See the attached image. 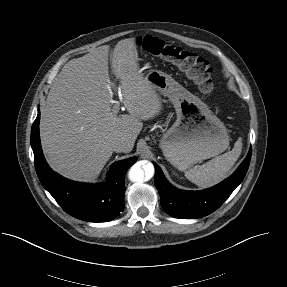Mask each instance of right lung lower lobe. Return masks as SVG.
<instances>
[{"mask_svg": "<svg viewBox=\"0 0 287 287\" xmlns=\"http://www.w3.org/2000/svg\"><path fill=\"white\" fill-rule=\"evenodd\" d=\"M38 112L31 128V146L36 172L43 187L65 212L89 222H106L116 218L124 209V177L136 157L118 161L111 166L105 183L92 185L70 181L58 175L46 163L39 140Z\"/></svg>", "mask_w": 287, "mask_h": 287, "instance_id": "obj_1", "label": "right lung lower lobe"}]
</instances>
